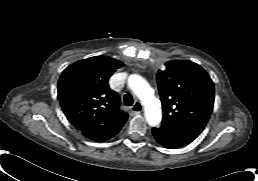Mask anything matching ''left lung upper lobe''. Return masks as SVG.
Wrapping results in <instances>:
<instances>
[{
	"label": "left lung upper lobe",
	"instance_id": "5c2ea615",
	"mask_svg": "<svg viewBox=\"0 0 258 181\" xmlns=\"http://www.w3.org/2000/svg\"><path fill=\"white\" fill-rule=\"evenodd\" d=\"M157 74L163 108L162 125L199 135L214 103V84L207 72L188 60H172Z\"/></svg>",
	"mask_w": 258,
	"mask_h": 181
}]
</instances>
